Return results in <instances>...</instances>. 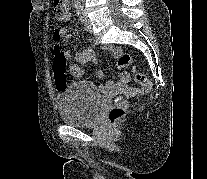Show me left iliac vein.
Segmentation results:
<instances>
[{"label": "left iliac vein", "instance_id": "1", "mask_svg": "<svg viewBox=\"0 0 207 179\" xmlns=\"http://www.w3.org/2000/svg\"><path fill=\"white\" fill-rule=\"evenodd\" d=\"M85 20H86V26H87V31L89 33H92L93 32V28H92V25H91V22L89 20V18L85 15Z\"/></svg>", "mask_w": 207, "mask_h": 179}]
</instances>
